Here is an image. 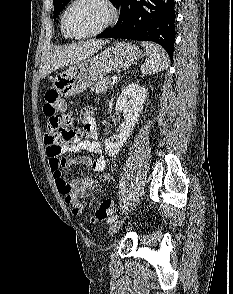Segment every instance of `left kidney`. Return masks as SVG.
I'll list each match as a JSON object with an SVG mask.
<instances>
[{
    "mask_svg": "<svg viewBox=\"0 0 233 294\" xmlns=\"http://www.w3.org/2000/svg\"><path fill=\"white\" fill-rule=\"evenodd\" d=\"M145 99L146 90L139 84L130 83L122 89L115 107L123 111L125 121L119 126L120 133L115 141L110 138L104 141L105 150L110 156L117 154L130 137L135 123L143 110Z\"/></svg>",
    "mask_w": 233,
    "mask_h": 294,
    "instance_id": "1",
    "label": "left kidney"
}]
</instances>
